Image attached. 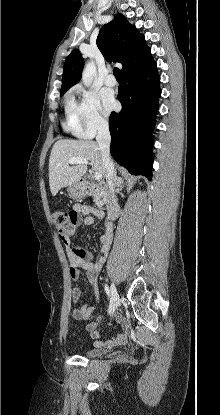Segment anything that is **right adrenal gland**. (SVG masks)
<instances>
[{
  "mask_svg": "<svg viewBox=\"0 0 220 415\" xmlns=\"http://www.w3.org/2000/svg\"><path fill=\"white\" fill-rule=\"evenodd\" d=\"M118 177H117V175H116V173H115V179H117Z\"/></svg>",
  "mask_w": 220,
  "mask_h": 415,
  "instance_id": "2a0ac1e0",
  "label": "right adrenal gland"
}]
</instances>
